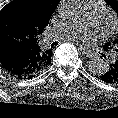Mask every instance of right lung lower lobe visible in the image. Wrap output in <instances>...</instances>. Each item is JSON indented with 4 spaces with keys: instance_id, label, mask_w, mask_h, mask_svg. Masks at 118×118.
<instances>
[{
    "instance_id": "98d812e1",
    "label": "right lung lower lobe",
    "mask_w": 118,
    "mask_h": 118,
    "mask_svg": "<svg viewBox=\"0 0 118 118\" xmlns=\"http://www.w3.org/2000/svg\"><path fill=\"white\" fill-rule=\"evenodd\" d=\"M36 60V53L33 50L15 44H5L0 47V65L18 79H29L40 74L35 69Z\"/></svg>"
}]
</instances>
